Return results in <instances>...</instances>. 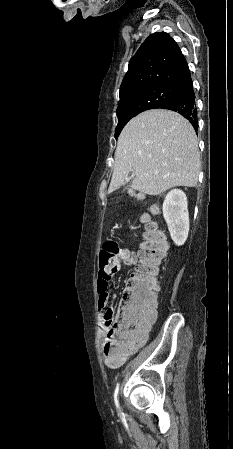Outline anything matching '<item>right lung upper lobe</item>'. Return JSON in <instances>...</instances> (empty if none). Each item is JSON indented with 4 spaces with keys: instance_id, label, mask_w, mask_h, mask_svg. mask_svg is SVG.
Masks as SVG:
<instances>
[{
    "instance_id": "right-lung-upper-lobe-1",
    "label": "right lung upper lobe",
    "mask_w": 233,
    "mask_h": 449,
    "mask_svg": "<svg viewBox=\"0 0 233 449\" xmlns=\"http://www.w3.org/2000/svg\"><path fill=\"white\" fill-rule=\"evenodd\" d=\"M190 81V70L178 44L165 32L154 33L130 60L119 93L122 97L157 85L179 88Z\"/></svg>"
}]
</instances>
